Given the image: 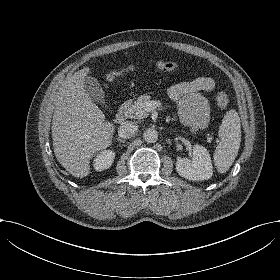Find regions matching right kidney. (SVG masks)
<instances>
[{"mask_svg":"<svg viewBox=\"0 0 280 280\" xmlns=\"http://www.w3.org/2000/svg\"><path fill=\"white\" fill-rule=\"evenodd\" d=\"M116 152L114 149H104L101 152H98L92 162V166L95 171H102L108 169L114 159H115Z\"/></svg>","mask_w":280,"mask_h":280,"instance_id":"obj_1","label":"right kidney"}]
</instances>
